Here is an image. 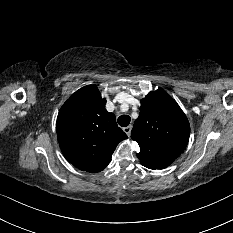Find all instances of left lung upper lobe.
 <instances>
[{
    "label": "left lung upper lobe",
    "instance_id": "5c2ea615",
    "mask_svg": "<svg viewBox=\"0 0 233 233\" xmlns=\"http://www.w3.org/2000/svg\"><path fill=\"white\" fill-rule=\"evenodd\" d=\"M190 136L189 121L176 101L163 90L141 100L131 138L140 147L137 157L150 169H164L184 151Z\"/></svg>",
    "mask_w": 233,
    "mask_h": 233
}]
</instances>
